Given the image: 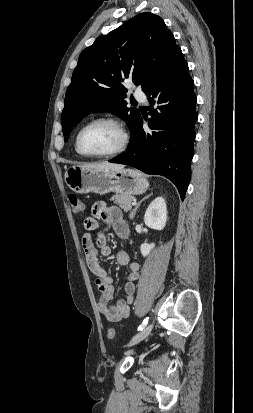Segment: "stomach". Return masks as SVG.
<instances>
[{"instance_id": "obj_1", "label": "stomach", "mask_w": 253, "mask_h": 413, "mask_svg": "<svg viewBox=\"0 0 253 413\" xmlns=\"http://www.w3.org/2000/svg\"><path fill=\"white\" fill-rule=\"evenodd\" d=\"M66 185L80 194L97 193L104 195L116 192L125 195L144 193L149 183L144 175L135 169L93 170L81 166L69 167L64 177Z\"/></svg>"}]
</instances>
